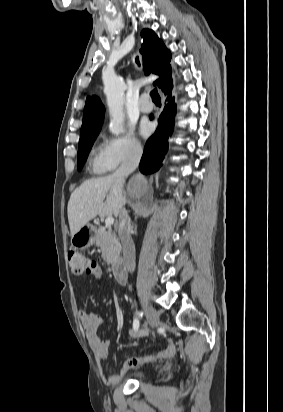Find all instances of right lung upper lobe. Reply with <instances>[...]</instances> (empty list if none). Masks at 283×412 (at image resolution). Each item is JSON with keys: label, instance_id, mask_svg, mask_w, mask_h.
<instances>
[{"label": "right lung upper lobe", "instance_id": "cb5924a9", "mask_svg": "<svg viewBox=\"0 0 283 412\" xmlns=\"http://www.w3.org/2000/svg\"><path fill=\"white\" fill-rule=\"evenodd\" d=\"M143 44L140 52L143 54L144 70L146 74L150 72L160 75L161 78L153 84L164 88L167 84H172V70L170 66L171 53L165 47L162 40L149 29L141 32ZM105 108L101 100L96 96H88L83 112V122L80 137L91 133L100 132L104 120Z\"/></svg>", "mask_w": 283, "mask_h": 412}]
</instances>
